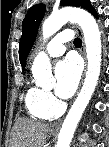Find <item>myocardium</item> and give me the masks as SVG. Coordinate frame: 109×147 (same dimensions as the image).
Returning <instances> with one entry per match:
<instances>
[{"mask_svg": "<svg viewBox=\"0 0 109 147\" xmlns=\"http://www.w3.org/2000/svg\"><path fill=\"white\" fill-rule=\"evenodd\" d=\"M59 113H60V112H58L56 116H58V115H59Z\"/></svg>", "mask_w": 109, "mask_h": 147, "instance_id": "f54148a6", "label": "myocardium"}]
</instances>
